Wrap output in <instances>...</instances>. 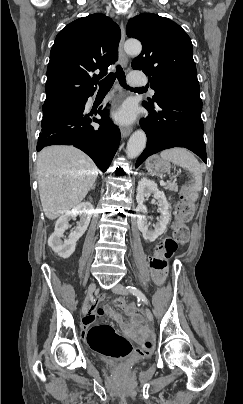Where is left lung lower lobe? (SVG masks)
<instances>
[{
	"mask_svg": "<svg viewBox=\"0 0 243 404\" xmlns=\"http://www.w3.org/2000/svg\"><path fill=\"white\" fill-rule=\"evenodd\" d=\"M149 115L140 124L147 134V145L136 167L147 157L164 149L184 147L206 163V147L201 119L202 101L198 98L167 97L148 109Z\"/></svg>",
	"mask_w": 243,
	"mask_h": 404,
	"instance_id": "left-lung-lower-lobe-1",
	"label": "left lung lower lobe"
}]
</instances>
